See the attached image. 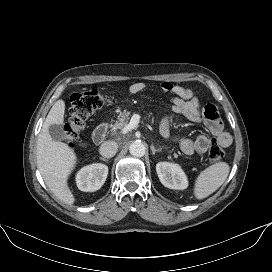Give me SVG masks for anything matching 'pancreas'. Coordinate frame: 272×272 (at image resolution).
Returning <instances> with one entry per match:
<instances>
[{"instance_id":"1","label":"pancreas","mask_w":272,"mask_h":272,"mask_svg":"<svg viewBox=\"0 0 272 272\" xmlns=\"http://www.w3.org/2000/svg\"><path fill=\"white\" fill-rule=\"evenodd\" d=\"M129 119H130V112H127V111L122 112L118 120L115 122L113 129L122 130L126 125H128Z\"/></svg>"}]
</instances>
